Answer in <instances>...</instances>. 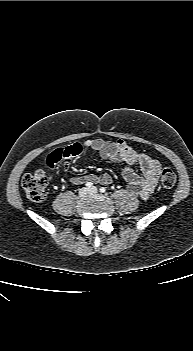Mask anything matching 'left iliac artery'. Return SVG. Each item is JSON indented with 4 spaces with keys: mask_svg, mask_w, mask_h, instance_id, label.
Listing matches in <instances>:
<instances>
[{
    "mask_svg": "<svg viewBox=\"0 0 193 351\" xmlns=\"http://www.w3.org/2000/svg\"><path fill=\"white\" fill-rule=\"evenodd\" d=\"M99 190H100L101 193H105L106 192V189L104 187H101Z\"/></svg>",
    "mask_w": 193,
    "mask_h": 351,
    "instance_id": "1",
    "label": "left iliac artery"
}]
</instances>
